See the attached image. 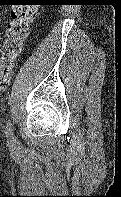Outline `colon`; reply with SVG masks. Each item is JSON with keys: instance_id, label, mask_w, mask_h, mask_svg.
Returning a JSON list of instances; mask_svg holds the SVG:
<instances>
[{"instance_id": "1", "label": "colon", "mask_w": 121, "mask_h": 197, "mask_svg": "<svg viewBox=\"0 0 121 197\" xmlns=\"http://www.w3.org/2000/svg\"><path fill=\"white\" fill-rule=\"evenodd\" d=\"M31 0H12V21L9 23L0 52V91L5 90L15 59L29 33V26L37 14V6Z\"/></svg>"}]
</instances>
